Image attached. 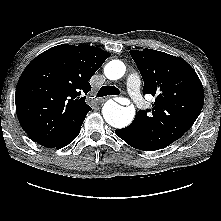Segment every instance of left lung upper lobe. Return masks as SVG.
<instances>
[{"label": "left lung upper lobe", "instance_id": "5c2ea615", "mask_svg": "<svg viewBox=\"0 0 221 221\" xmlns=\"http://www.w3.org/2000/svg\"><path fill=\"white\" fill-rule=\"evenodd\" d=\"M130 55L143 78V94L156 97L151 113L138 111L130 126L139 147L158 150L191 128L204 104L203 86L182 58L152 49L130 50Z\"/></svg>", "mask_w": 221, "mask_h": 221}]
</instances>
